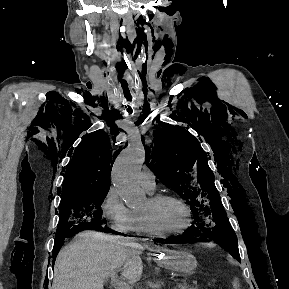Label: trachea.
<instances>
[{"label": "trachea", "instance_id": "obj_1", "mask_svg": "<svg viewBox=\"0 0 289 289\" xmlns=\"http://www.w3.org/2000/svg\"><path fill=\"white\" fill-rule=\"evenodd\" d=\"M130 111H131V109L128 108V112H130Z\"/></svg>", "mask_w": 289, "mask_h": 289}]
</instances>
